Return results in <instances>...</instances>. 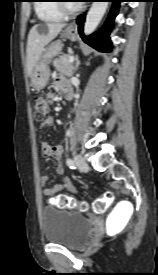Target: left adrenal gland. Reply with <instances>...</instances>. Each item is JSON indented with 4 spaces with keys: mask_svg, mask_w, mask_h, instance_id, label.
<instances>
[{
    "mask_svg": "<svg viewBox=\"0 0 158 275\" xmlns=\"http://www.w3.org/2000/svg\"><path fill=\"white\" fill-rule=\"evenodd\" d=\"M80 65V61L78 56H75V68H74V72H76L78 70V67Z\"/></svg>",
    "mask_w": 158,
    "mask_h": 275,
    "instance_id": "obj_1",
    "label": "left adrenal gland"
}]
</instances>
